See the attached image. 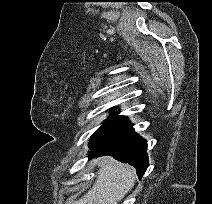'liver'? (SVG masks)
<instances>
[{"label":"liver","mask_w":212,"mask_h":204,"mask_svg":"<svg viewBox=\"0 0 212 204\" xmlns=\"http://www.w3.org/2000/svg\"><path fill=\"white\" fill-rule=\"evenodd\" d=\"M100 167L92 188L78 201L69 199L67 204H118L133 188L135 169L111 157L97 159Z\"/></svg>","instance_id":"6515ba94"}]
</instances>
